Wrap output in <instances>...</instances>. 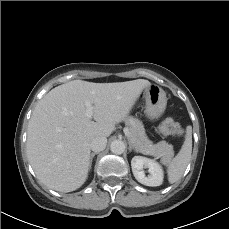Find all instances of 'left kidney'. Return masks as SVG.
<instances>
[{
  "mask_svg": "<svg viewBox=\"0 0 229 229\" xmlns=\"http://www.w3.org/2000/svg\"><path fill=\"white\" fill-rule=\"evenodd\" d=\"M131 167L134 177L141 184L152 187L162 184L164 178L163 169L155 160L134 156L131 160ZM144 168H148L150 175H145Z\"/></svg>",
  "mask_w": 229,
  "mask_h": 229,
  "instance_id": "1",
  "label": "left kidney"
}]
</instances>
